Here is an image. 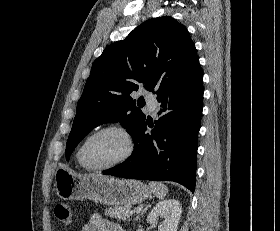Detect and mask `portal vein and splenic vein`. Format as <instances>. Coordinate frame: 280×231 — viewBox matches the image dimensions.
I'll use <instances>...</instances> for the list:
<instances>
[{
  "label": "portal vein and splenic vein",
  "instance_id": "18ae733b",
  "mask_svg": "<svg viewBox=\"0 0 280 231\" xmlns=\"http://www.w3.org/2000/svg\"><path fill=\"white\" fill-rule=\"evenodd\" d=\"M135 211H140V209H135Z\"/></svg>",
  "mask_w": 280,
  "mask_h": 231
}]
</instances>
